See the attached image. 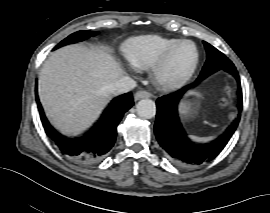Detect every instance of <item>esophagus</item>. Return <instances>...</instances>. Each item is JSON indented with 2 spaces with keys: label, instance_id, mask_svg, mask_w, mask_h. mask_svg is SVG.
<instances>
[{
  "label": "esophagus",
  "instance_id": "1",
  "mask_svg": "<svg viewBox=\"0 0 270 213\" xmlns=\"http://www.w3.org/2000/svg\"><path fill=\"white\" fill-rule=\"evenodd\" d=\"M149 97H151V94L149 92L143 91V90L137 91L134 94L135 101H138V100L143 99V98H149Z\"/></svg>",
  "mask_w": 270,
  "mask_h": 213
}]
</instances>
